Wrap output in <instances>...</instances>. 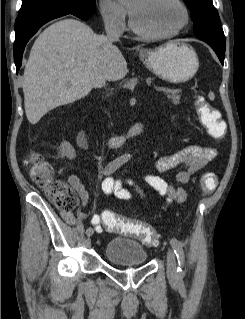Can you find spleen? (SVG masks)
I'll use <instances>...</instances> for the list:
<instances>
[{"mask_svg": "<svg viewBox=\"0 0 245 319\" xmlns=\"http://www.w3.org/2000/svg\"><path fill=\"white\" fill-rule=\"evenodd\" d=\"M208 97H209L210 100H214V98H215L214 93L210 92Z\"/></svg>", "mask_w": 245, "mask_h": 319, "instance_id": "1", "label": "spleen"}]
</instances>
